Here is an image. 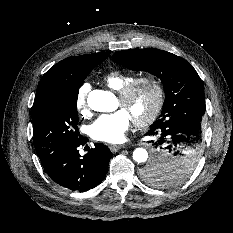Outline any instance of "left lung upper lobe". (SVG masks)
I'll use <instances>...</instances> for the list:
<instances>
[{
    "label": "left lung upper lobe",
    "instance_id": "5c2ea615",
    "mask_svg": "<svg viewBox=\"0 0 233 233\" xmlns=\"http://www.w3.org/2000/svg\"><path fill=\"white\" fill-rule=\"evenodd\" d=\"M112 60L133 71H146L158 76L163 83L165 102L160 118L151 126L166 121L196 117L205 113L203 83L196 70L185 59L172 53L148 48L118 51ZM200 155L185 154L164 164L148 163L142 178L154 185H176L188 179L195 170Z\"/></svg>",
    "mask_w": 233,
    "mask_h": 233
}]
</instances>
